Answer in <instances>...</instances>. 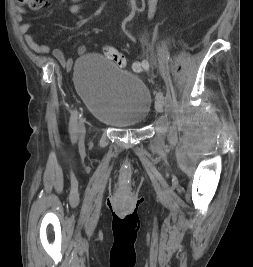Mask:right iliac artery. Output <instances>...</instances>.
Instances as JSON below:
<instances>
[{"instance_id": "1", "label": "right iliac artery", "mask_w": 253, "mask_h": 267, "mask_svg": "<svg viewBox=\"0 0 253 267\" xmlns=\"http://www.w3.org/2000/svg\"><path fill=\"white\" fill-rule=\"evenodd\" d=\"M77 120H78V112L74 111L70 118V127H69L70 137L73 143H75L78 138Z\"/></svg>"}]
</instances>
